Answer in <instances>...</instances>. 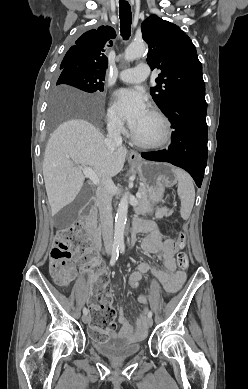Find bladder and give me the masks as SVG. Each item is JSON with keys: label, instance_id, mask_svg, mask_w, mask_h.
<instances>
[{"label": "bladder", "instance_id": "31cf9c89", "mask_svg": "<svg viewBox=\"0 0 248 389\" xmlns=\"http://www.w3.org/2000/svg\"><path fill=\"white\" fill-rule=\"evenodd\" d=\"M91 344L96 352L111 359L131 357L142 349L141 344L132 343L130 340L118 336L110 337L107 340L92 338Z\"/></svg>", "mask_w": 248, "mask_h": 389}]
</instances>
